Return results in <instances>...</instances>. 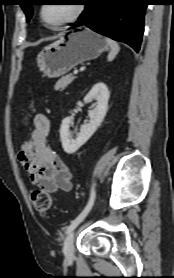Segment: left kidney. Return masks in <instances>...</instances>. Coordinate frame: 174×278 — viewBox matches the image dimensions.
Wrapping results in <instances>:
<instances>
[{"label": "left kidney", "instance_id": "5707ae66", "mask_svg": "<svg viewBox=\"0 0 174 278\" xmlns=\"http://www.w3.org/2000/svg\"><path fill=\"white\" fill-rule=\"evenodd\" d=\"M109 97V90L104 83L99 82L92 87L89 93L84 97V102L90 103L96 100V103L92 105L93 109L89 111V122L81 126L80 132L75 139L72 138L69 131L72 117L63 119L60 127V138L62 147L66 153L72 154L76 152L95 133L106 115Z\"/></svg>", "mask_w": 174, "mask_h": 278}]
</instances>
